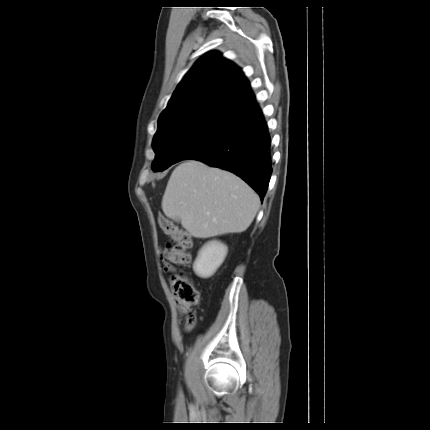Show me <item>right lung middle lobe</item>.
<instances>
[{"instance_id":"dd1d6c3e","label":"right lung middle lobe","mask_w":430,"mask_h":430,"mask_svg":"<svg viewBox=\"0 0 430 430\" xmlns=\"http://www.w3.org/2000/svg\"><path fill=\"white\" fill-rule=\"evenodd\" d=\"M239 116L224 100H209L159 119L153 140V171L185 160L227 130Z\"/></svg>"}]
</instances>
